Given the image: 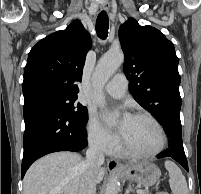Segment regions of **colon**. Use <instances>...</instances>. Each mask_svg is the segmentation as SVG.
<instances>
[{
    "label": "colon",
    "mask_w": 201,
    "mask_h": 194,
    "mask_svg": "<svg viewBox=\"0 0 201 194\" xmlns=\"http://www.w3.org/2000/svg\"><path fill=\"white\" fill-rule=\"evenodd\" d=\"M156 194H168L166 191H158Z\"/></svg>",
    "instance_id": "colon-1"
}]
</instances>
